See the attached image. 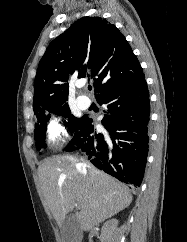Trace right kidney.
<instances>
[{
	"mask_svg": "<svg viewBox=\"0 0 187 242\" xmlns=\"http://www.w3.org/2000/svg\"><path fill=\"white\" fill-rule=\"evenodd\" d=\"M117 225H118V220H116V219H112V220L108 221V222L105 224L104 229H105L106 232L109 233V232L114 231L115 228L117 227Z\"/></svg>",
	"mask_w": 187,
	"mask_h": 242,
	"instance_id": "obj_1",
	"label": "right kidney"
}]
</instances>
